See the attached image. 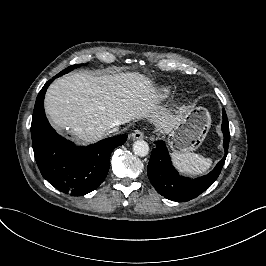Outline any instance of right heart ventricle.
<instances>
[{
  "mask_svg": "<svg viewBox=\"0 0 266 266\" xmlns=\"http://www.w3.org/2000/svg\"><path fill=\"white\" fill-rule=\"evenodd\" d=\"M174 94V88L169 84H160L152 88L147 97L145 104L148 108H156L169 100Z\"/></svg>",
  "mask_w": 266,
  "mask_h": 266,
  "instance_id": "right-heart-ventricle-1",
  "label": "right heart ventricle"
}]
</instances>
